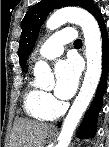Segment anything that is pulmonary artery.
Here are the masks:
<instances>
[{"mask_svg":"<svg viewBox=\"0 0 109 147\" xmlns=\"http://www.w3.org/2000/svg\"><path fill=\"white\" fill-rule=\"evenodd\" d=\"M77 33L73 31L58 32L50 36L40 47L36 60H51L63 53V46L66 43L77 40Z\"/></svg>","mask_w":109,"mask_h":147,"instance_id":"obj_1","label":"pulmonary artery"}]
</instances>
